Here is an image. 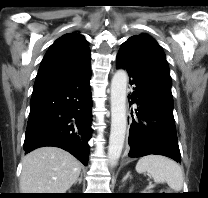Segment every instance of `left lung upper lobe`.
Returning a JSON list of instances; mask_svg holds the SVG:
<instances>
[{"instance_id": "1", "label": "left lung upper lobe", "mask_w": 208, "mask_h": 198, "mask_svg": "<svg viewBox=\"0 0 208 198\" xmlns=\"http://www.w3.org/2000/svg\"><path fill=\"white\" fill-rule=\"evenodd\" d=\"M125 43L136 46L159 83L171 92L169 67L160 45L146 34L132 36Z\"/></svg>"}]
</instances>
